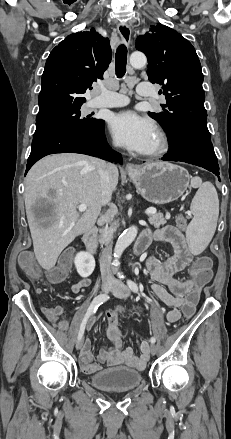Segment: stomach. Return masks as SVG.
Here are the masks:
<instances>
[{
  "mask_svg": "<svg viewBox=\"0 0 231 439\" xmlns=\"http://www.w3.org/2000/svg\"><path fill=\"white\" fill-rule=\"evenodd\" d=\"M137 192L153 204H166L177 200L187 190L189 173L170 163H148L128 172Z\"/></svg>",
  "mask_w": 231,
  "mask_h": 439,
  "instance_id": "obj_1",
  "label": "stomach"
}]
</instances>
